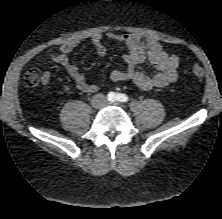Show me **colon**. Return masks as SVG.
Masks as SVG:
<instances>
[{
    "mask_svg": "<svg viewBox=\"0 0 222 219\" xmlns=\"http://www.w3.org/2000/svg\"><path fill=\"white\" fill-rule=\"evenodd\" d=\"M191 73L197 77L202 78L204 76V69L197 64H194L190 68ZM41 75L37 68H30L25 74V82L30 87H36L40 83Z\"/></svg>",
    "mask_w": 222,
    "mask_h": 219,
    "instance_id": "colon-1",
    "label": "colon"
}]
</instances>
